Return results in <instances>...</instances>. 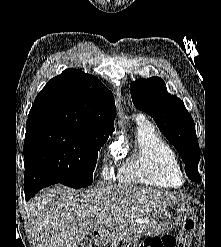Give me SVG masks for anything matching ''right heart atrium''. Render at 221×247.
Listing matches in <instances>:
<instances>
[{
  "label": "right heart atrium",
  "mask_w": 221,
  "mask_h": 247,
  "mask_svg": "<svg viewBox=\"0 0 221 247\" xmlns=\"http://www.w3.org/2000/svg\"><path fill=\"white\" fill-rule=\"evenodd\" d=\"M102 174H103V176H104L105 178H108V177H109V170H108V168H107L106 165H103V166H102Z\"/></svg>",
  "instance_id": "1"
}]
</instances>
